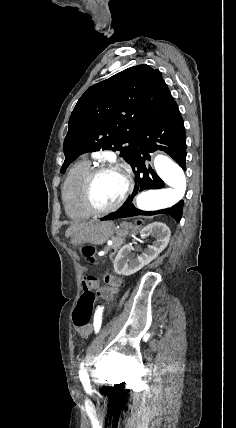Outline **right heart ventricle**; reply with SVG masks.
I'll return each instance as SVG.
<instances>
[{"mask_svg":"<svg viewBox=\"0 0 236 428\" xmlns=\"http://www.w3.org/2000/svg\"><path fill=\"white\" fill-rule=\"evenodd\" d=\"M91 169L87 159L76 163L66 175L62 185V197L67 213L77 220H86L95 214L84 205L81 196L82 183Z\"/></svg>","mask_w":236,"mask_h":428,"instance_id":"right-heart-ventricle-1","label":"right heart ventricle"}]
</instances>
